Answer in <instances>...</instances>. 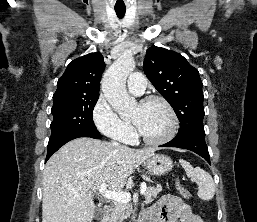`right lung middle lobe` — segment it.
Returning <instances> with one entry per match:
<instances>
[{"label": "right lung middle lobe", "mask_w": 257, "mask_h": 222, "mask_svg": "<svg viewBox=\"0 0 257 222\" xmlns=\"http://www.w3.org/2000/svg\"><path fill=\"white\" fill-rule=\"evenodd\" d=\"M99 96L53 102L49 141L71 133L100 134L93 122Z\"/></svg>", "instance_id": "right-lung-middle-lobe-1"}]
</instances>
